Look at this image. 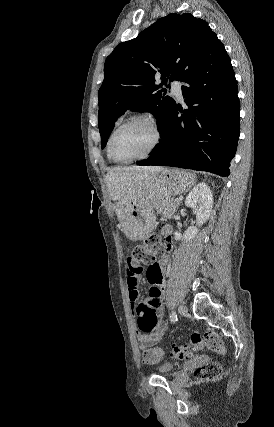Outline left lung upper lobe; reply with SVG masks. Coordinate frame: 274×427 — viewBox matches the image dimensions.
<instances>
[{"mask_svg":"<svg viewBox=\"0 0 274 427\" xmlns=\"http://www.w3.org/2000/svg\"><path fill=\"white\" fill-rule=\"evenodd\" d=\"M215 36L206 21L190 13H171L135 39L120 43L105 61V77L98 91L101 148L127 110L151 112L161 134L174 103L162 86L168 79L180 80ZM159 74L162 82L157 84L154 77Z\"/></svg>","mask_w":274,"mask_h":427,"instance_id":"left-lung-upper-lobe-1","label":"left lung upper lobe"}]
</instances>
